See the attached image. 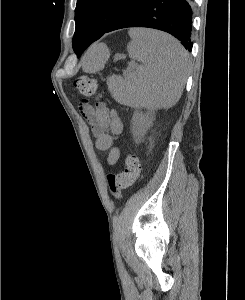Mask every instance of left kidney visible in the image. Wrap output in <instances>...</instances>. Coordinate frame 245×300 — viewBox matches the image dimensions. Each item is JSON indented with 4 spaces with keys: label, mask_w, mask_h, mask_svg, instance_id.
<instances>
[{
    "label": "left kidney",
    "mask_w": 245,
    "mask_h": 300,
    "mask_svg": "<svg viewBox=\"0 0 245 300\" xmlns=\"http://www.w3.org/2000/svg\"><path fill=\"white\" fill-rule=\"evenodd\" d=\"M153 120V114L150 112L143 113L137 111L133 114L131 130L136 141L143 137V135L152 125Z\"/></svg>",
    "instance_id": "1"
}]
</instances>
